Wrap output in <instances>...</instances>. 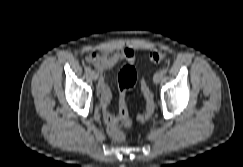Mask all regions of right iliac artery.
<instances>
[{
  "label": "right iliac artery",
  "instance_id": "1",
  "mask_svg": "<svg viewBox=\"0 0 243 167\" xmlns=\"http://www.w3.org/2000/svg\"><path fill=\"white\" fill-rule=\"evenodd\" d=\"M84 69H85L86 72H90L91 71V68L89 66H85Z\"/></svg>",
  "mask_w": 243,
  "mask_h": 167
}]
</instances>
